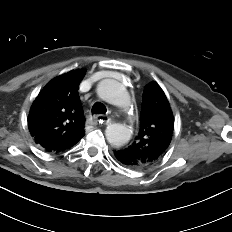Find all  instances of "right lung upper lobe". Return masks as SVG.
<instances>
[{
  "mask_svg": "<svg viewBox=\"0 0 232 232\" xmlns=\"http://www.w3.org/2000/svg\"><path fill=\"white\" fill-rule=\"evenodd\" d=\"M84 69L72 70L50 81L34 100L28 128L36 144L47 152H63L85 135V117L78 96Z\"/></svg>",
  "mask_w": 232,
  "mask_h": 232,
  "instance_id": "cb5924a9",
  "label": "right lung upper lobe"
}]
</instances>
